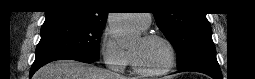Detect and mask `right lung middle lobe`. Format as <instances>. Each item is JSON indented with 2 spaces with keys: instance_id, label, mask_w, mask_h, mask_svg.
Returning <instances> with one entry per match:
<instances>
[{
  "instance_id": "1",
  "label": "right lung middle lobe",
  "mask_w": 255,
  "mask_h": 79,
  "mask_svg": "<svg viewBox=\"0 0 255 79\" xmlns=\"http://www.w3.org/2000/svg\"><path fill=\"white\" fill-rule=\"evenodd\" d=\"M104 27L63 20L44 22L41 40L36 48V59L63 54L96 61Z\"/></svg>"
}]
</instances>
